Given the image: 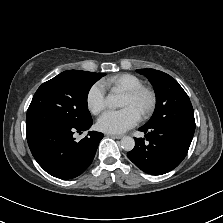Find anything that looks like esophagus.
<instances>
[{"mask_svg": "<svg viewBox=\"0 0 223 223\" xmlns=\"http://www.w3.org/2000/svg\"><path fill=\"white\" fill-rule=\"evenodd\" d=\"M106 136H108V137H111V138H114V139H121V135H116V134H106Z\"/></svg>", "mask_w": 223, "mask_h": 223, "instance_id": "1", "label": "esophagus"}]
</instances>
